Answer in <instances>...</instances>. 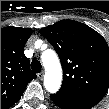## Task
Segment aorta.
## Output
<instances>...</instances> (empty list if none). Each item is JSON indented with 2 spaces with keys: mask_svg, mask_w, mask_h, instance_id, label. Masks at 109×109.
<instances>
[{
  "mask_svg": "<svg viewBox=\"0 0 109 109\" xmlns=\"http://www.w3.org/2000/svg\"><path fill=\"white\" fill-rule=\"evenodd\" d=\"M45 68L44 87L50 93H56L62 82V67L54 50L47 49L41 55Z\"/></svg>",
  "mask_w": 109,
  "mask_h": 109,
  "instance_id": "aorta-1",
  "label": "aorta"
}]
</instances>
